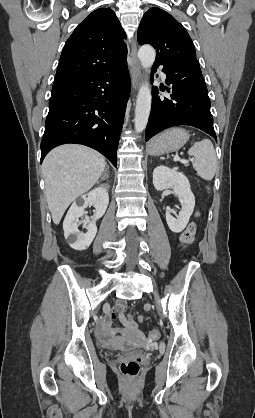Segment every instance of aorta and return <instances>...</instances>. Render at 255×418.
<instances>
[{"label":"aorta","instance_id":"1","mask_svg":"<svg viewBox=\"0 0 255 418\" xmlns=\"http://www.w3.org/2000/svg\"><path fill=\"white\" fill-rule=\"evenodd\" d=\"M155 50L150 45H143L138 51V58L144 69H149L155 61ZM152 95L149 84L143 83L139 89L135 108V131L142 132L148 123L151 111Z\"/></svg>","mask_w":255,"mask_h":418}]
</instances>
